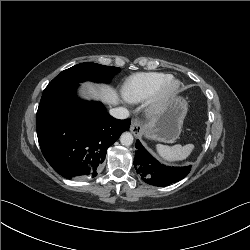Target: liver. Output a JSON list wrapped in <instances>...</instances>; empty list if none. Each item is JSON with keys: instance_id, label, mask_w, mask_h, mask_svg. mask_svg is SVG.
<instances>
[{"instance_id": "1", "label": "liver", "mask_w": 250, "mask_h": 250, "mask_svg": "<svg viewBox=\"0 0 250 250\" xmlns=\"http://www.w3.org/2000/svg\"><path fill=\"white\" fill-rule=\"evenodd\" d=\"M84 95L87 99L101 100L103 103L108 105H114L119 102L117 91L107 85H94L92 83H85Z\"/></svg>"}]
</instances>
